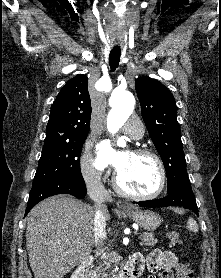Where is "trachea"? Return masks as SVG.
Instances as JSON below:
<instances>
[{"label":"trachea","instance_id":"3493384b","mask_svg":"<svg viewBox=\"0 0 221 278\" xmlns=\"http://www.w3.org/2000/svg\"><path fill=\"white\" fill-rule=\"evenodd\" d=\"M121 57V49L120 48H113L109 54V66L112 72H114L120 62Z\"/></svg>","mask_w":221,"mask_h":278}]
</instances>
